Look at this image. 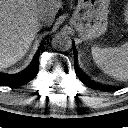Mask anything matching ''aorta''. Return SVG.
I'll list each match as a JSON object with an SVG mask.
<instances>
[{"mask_svg": "<svg viewBox=\"0 0 128 128\" xmlns=\"http://www.w3.org/2000/svg\"><path fill=\"white\" fill-rule=\"evenodd\" d=\"M52 46L55 49L66 50L71 46V40L67 37L57 34L52 40Z\"/></svg>", "mask_w": 128, "mask_h": 128, "instance_id": "1", "label": "aorta"}]
</instances>
